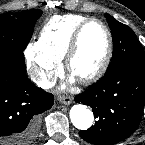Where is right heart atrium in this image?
<instances>
[{"mask_svg":"<svg viewBox=\"0 0 145 145\" xmlns=\"http://www.w3.org/2000/svg\"><path fill=\"white\" fill-rule=\"evenodd\" d=\"M25 57L29 70L41 86L53 84L61 70L59 59L43 51L37 42L27 46Z\"/></svg>","mask_w":145,"mask_h":145,"instance_id":"right-heart-atrium-1","label":"right heart atrium"}]
</instances>
